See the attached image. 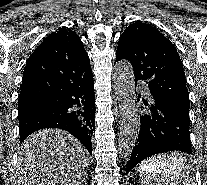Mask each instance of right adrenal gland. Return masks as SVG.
<instances>
[{"label":"right adrenal gland","mask_w":207,"mask_h":185,"mask_svg":"<svg viewBox=\"0 0 207 185\" xmlns=\"http://www.w3.org/2000/svg\"><path fill=\"white\" fill-rule=\"evenodd\" d=\"M83 185H88L87 179H83Z\"/></svg>","instance_id":"1"}]
</instances>
